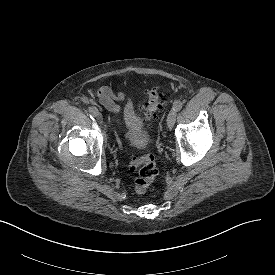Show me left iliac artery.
<instances>
[{"mask_svg":"<svg viewBox=\"0 0 275 275\" xmlns=\"http://www.w3.org/2000/svg\"><path fill=\"white\" fill-rule=\"evenodd\" d=\"M182 106H183V103L178 100V101L174 102L173 109L176 111H179V110H181Z\"/></svg>","mask_w":275,"mask_h":275,"instance_id":"left-iliac-artery-1","label":"left iliac artery"}]
</instances>
